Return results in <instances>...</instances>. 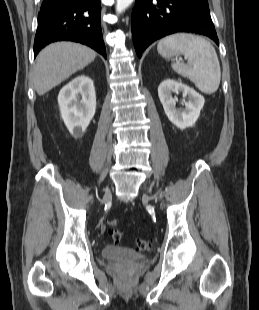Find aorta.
<instances>
[{"label": "aorta", "mask_w": 259, "mask_h": 310, "mask_svg": "<svg viewBox=\"0 0 259 310\" xmlns=\"http://www.w3.org/2000/svg\"><path fill=\"white\" fill-rule=\"evenodd\" d=\"M134 0H117L116 3V12L122 13L124 12L133 2Z\"/></svg>", "instance_id": "obj_1"}]
</instances>
